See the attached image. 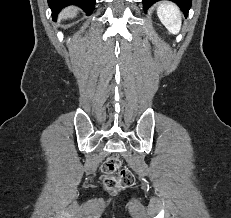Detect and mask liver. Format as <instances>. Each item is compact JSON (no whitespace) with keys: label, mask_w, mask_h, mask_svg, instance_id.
I'll use <instances>...</instances> for the list:
<instances>
[{"label":"liver","mask_w":231,"mask_h":218,"mask_svg":"<svg viewBox=\"0 0 231 218\" xmlns=\"http://www.w3.org/2000/svg\"><path fill=\"white\" fill-rule=\"evenodd\" d=\"M77 12H78L77 8L71 6L62 11L61 17L64 19L73 18L77 15Z\"/></svg>","instance_id":"1"}]
</instances>
